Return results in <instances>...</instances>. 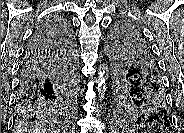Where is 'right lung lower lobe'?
Here are the masks:
<instances>
[{"label": "right lung lower lobe", "instance_id": "obj_1", "mask_svg": "<svg viewBox=\"0 0 184 133\" xmlns=\"http://www.w3.org/2000/svg\"><path fill=\"white\" fill-rule=\"evenodd\" d=\"M71 40L58 19H48L35 30L20 66L17 104H39L62 89L74 58Z\"/></svg>", "mask_w": 184, "mask_h": 133}]
</instances>
